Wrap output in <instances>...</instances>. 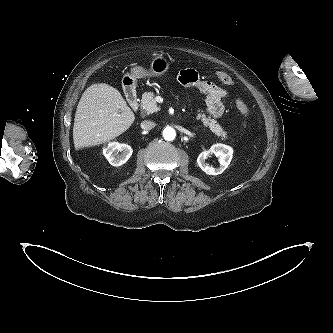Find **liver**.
I'll use <instances>...</instances> for the list:
<instances>
[{
  "mask_svg": "<svg viewBox=\"0 0 333 333\" xmlns=\"http://www.w3.org/2000/svg\"><path fill=\"white\" fill-rule=\"evenodd\" d=\"M134 120L133 111L116 88L105 83L92 84L77 106L73 126L75 149L108 142L124 133Z\"/></svg>",
  "mask_w": 333,
  "mask_h": 333,
  "instance_id": "liver-1",
  "label": "liver"
}]
</instances>
